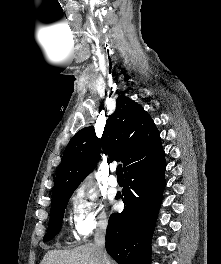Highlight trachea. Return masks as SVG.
Listing matches in <instances>:
<instances>
[{
  "label": "trachea",
  "instance_id": "1",
  "mask_svg": "<svg viewBox=\"0 0 221 264\" xmlns=\"http://www.w3.org/2000/svg\"><path fill=\"white\" fill-rule=\"evenodd\" d=\"M116 174H117L118 176H122V175H123V169H122V165H121V164H119V165L117 166Z\"/></svg>",
  "mask_w": 221,
  "mask_h": 264
}]
</instances>
